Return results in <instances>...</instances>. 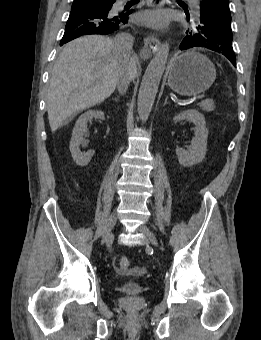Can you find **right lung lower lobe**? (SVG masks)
<instances>
[{"mask_svg":"<svg viewBox=\"0 0 261 340\" xmlns=\"http://www.w3.org/2000/svg\"><path fill=\"white\" fill-rule=\"evenodd\" d=\"M116 0H74L60 45L81 35L109 34L128 22L132 9L115 10Z\"/></svg>","mask_w":261,"mask_h":340,"instance_id":"obj_1","label":"right lung lower lobe"}]
</instances>
